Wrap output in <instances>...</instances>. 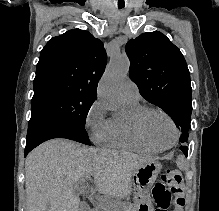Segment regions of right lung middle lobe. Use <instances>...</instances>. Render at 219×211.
Returning <instances> with one entry per match:
<instances>
[{
    "label": "right lung middle lobe",
    "instance_id": "obj_1",
    "mask_svg": "<svg viewBox=\"0 0 219 211\" xmlns=\"http://www.w3.org/2000/svg\"><path fill=\"white\" fill-rule=\"evenodd\" d=\"M94 101V96L65 88L50 87L34 93L31 100V119L57 120L79 128L87 135L86 117Z\"/></svg>",
    "mask_w": 219,
    "mask_h": 211
}]
</instances>
